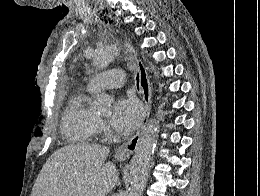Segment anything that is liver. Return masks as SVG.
<instances>
[{
	"label": "liver",
	"instance_id": "6515ba94",
	"mask_svg": "<svg viewBox=\"0 0 260 196\" xmlns=\"http://www.w3.org/2000/svg\"><path fill=\"white\" fill-rule=\"evenodd\" d=\"M106 146H65L51 154L31 196H107L118 184V170Z\"/></svg>",
	"mask_w": 260,
	"mask_h": 196
}]
</instances>
